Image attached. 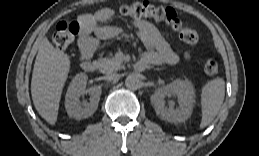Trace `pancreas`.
Masks as SVG:
<instances>
[{
  "label": "pancreas",
  "mask_w": 259,
  "mask_h": 156,
  "mask_svg": "<svg viewBox=\"0 0 259 156\" xmlns=\"http://www.w3.org/2000/svg\"><path fill=\"white\" fill-rule=\"evenodd\" d=\"M122 63L123 60L116 57L103 58L98 61L99 68L102 73H111L118 71L122 69Z\"/></svg>",
  "instance_id": "obj_1"
}]
</instances>
